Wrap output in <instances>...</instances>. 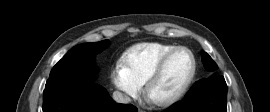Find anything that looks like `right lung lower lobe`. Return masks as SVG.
Here are the masks:
<instances>
[{
    "label": "right lung lower lobe",
    "instance_id": "1",
    "mask_svg": "<svg viewBox=\"0 0 270 112\" xmlns=\"http://www.w3.org/2000/svg\"><path fill=\"white\" fill-rule=\"evenodd\" d=\"M137 111L131 104H116L108 92L94 82H47L43 93V112Z\"/></svg>",
    "mask_w": 270,
    "mask_h": 112
}]
</instances>
